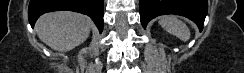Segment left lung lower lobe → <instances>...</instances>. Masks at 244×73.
I'll return each mask as SVG.
<instances>
[{"mask_svg": "<svg viewBox=\"0 0 244 73\" xmlns=\"http://www.w3.org/2000/svg\"><path fill=\"white\" fill-rule=\"evenodd\" d=\"M140 20L145 28L158 15L176 14L194 21L200 31L207 15V0H139Z\"/></svg>", "mask_w": 244, "mask_h": 73, "instance_id": "1", "label": "left lung lower lobe"}]
</instances>
